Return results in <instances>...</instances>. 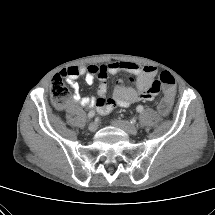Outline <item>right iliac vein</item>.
I'll list each match as a JSON object with an SVG mask.
<instances>
[{
  "mask_svg": "<svg viewBox=\"0 0 215 215\" xmlns=\"http://www.w3.org/2000/svg\"><path fill=\"white\" fill-rule=\"evenodd\" d=\"M97 128H98V125L95 122L90 123L89 126H88V129L91 132H95L97 130Z\"/></svg>",
  "mask_w": 215,
  "mask_h": 215,
  "instance_id": "obj_1",
  "label": "right iliac vein"
}]
</instances>
